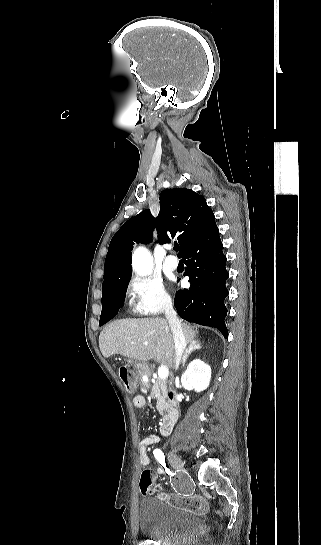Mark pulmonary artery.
Wrapping results in <instances>:
<instances>
[{"instance_id":"pulmonary-artery-1","label":"pulmonary artery","mask_w":321,"mask_h":545,"mask_svg":"<svg viewBox=\"0 0 321 545\" xmlns=\"http://www.w3.org/2000/svg\"><path fill=\"white\" fill-rule=\"evenodd\" d=\"M164 266L168 269V270H176L177 267H178V261L176 259H166L164 261Z\"/></svg>"}]
</instances>
